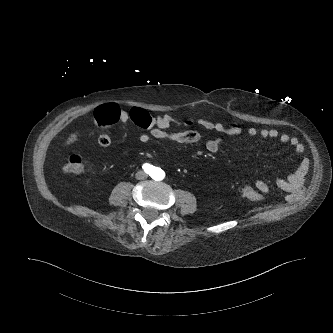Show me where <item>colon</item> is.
I'll list each match as a JSON object with an SVG mask.
<instances>
[{"instance_id": "5ec220e1", "label": "colon", "mask_w": 333, "mask_h": 333, "mask_svg": "<svg viewBox=\"0 0 333 333\" xmlns=\"http://www.w3.org/2000/svg\"><path fill=\"white\" fill-rule=\"evenodd\" d=\"M120 109L115 104H104L99 106L94 112V121L99 128H106L119 120ZM187 129H191L193 123L187 121L185 123ZM227 128L239 127V124L232 122L226 125ZM205 129V128H204ZM207 132L217 133L213 129H206ZM222 134V133H221ZM65 171L72 174H80L85 172L88 167L84 160L77 154H73L69 157L65 167ZM241 195L251 201L260 202L263 200V196L260 192L251 186H244L241 190Z\"/></svg>"}]
</instances>
